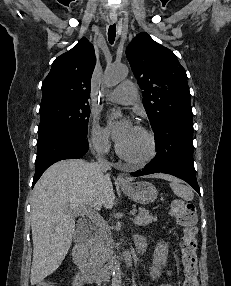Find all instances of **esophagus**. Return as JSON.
Masks as SVG:
<instances>
[{
    "mask_svg": "<svg viewBox=\"0 0 231 286\" xmlns=\"http://www.w3.org/2000/svg\"><path fill=\"white\" fill-rule=\"evenodd\" d=\"M110 23H115L117 21V15H110ZM117 181L120 185H127L128 184V179L126 178V174L120 173L117 176Z\"/></svg>",
    "mask_w": 231,
    "mask_h": 286,
    "instance_id": "esophagus-1",
    "label": "esophagus"
}]
</instances>
